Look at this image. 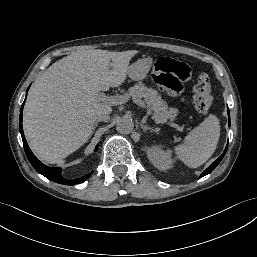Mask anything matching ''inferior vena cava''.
Here are the masks:
<instances>
[{"label":"inferior vena cava","instance_id":"obj_1","mask_svg":"<svg viewBox=\"0 0 257 257\" xmlns=\"http://www.w3.org/2000/svg\"><path fill=\"white\" fill-rule=\"evenodd\" d=\"M109 119H110V116L108 113H99L96 117V121L108 122Z\"/></svg>","mask_w":257,"mask_h":257}]
</instances>
